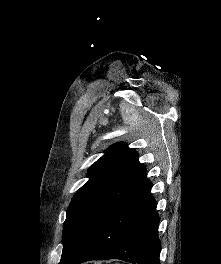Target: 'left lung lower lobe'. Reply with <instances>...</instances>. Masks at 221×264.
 I'll return each instance as SVG.
<instances>
[{
	"label": "left lung lower lobe",
	"instance_id": "left-lung-lower-lobe-1",
	"mask_svg": "<svg viewBox=\"0 0 221 264\" xmlns=\"http://www.w3.org/2000/svg\"><path fill=\"white\" fill-rule=\"evenodd\" d=\"M145 179L114 207L59 264L121 259L133 264H160L159 216Z\"/></svg>",
	"mask_w": 221,
	"mask_h": 264
}]
</instances>
